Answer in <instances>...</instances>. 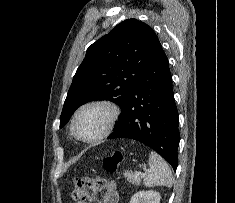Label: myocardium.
Masks as SVG:
<instances>
[{
  "mask_svg": "<svg viewBox=\"0 0 235 203\" xmlns=\"http://www.w3.org/2000/svg\"><path fill=\"white\" fill-rule=\"evenodd\" d=\"M100 106L108 110L109 112V118L107 121V124L104 128V130L96 137L91 139H85L82 138L76 129V121L79 116V114L84 111L87 108ZM120 116V109L117 104H115L112 101L104 100V99H98V100H92L89 102H86L82 104L73 114L72 120H71V132L75 139H77L80 142L92 144L101 141L102 139L106 138L113 130L115 124L117 123Z\"/></svg>",
  "mask_w": 235,
  "mask_h": 203,
  "instance_id": "obj_1",
  "label": "myocardium"
}]
</instances>
